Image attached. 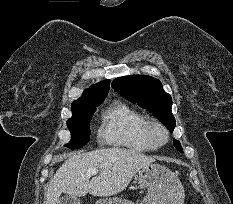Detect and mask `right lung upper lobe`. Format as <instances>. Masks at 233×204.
Instances as JSON below:
<instances>
[{
  "label": "right lung upper lobe",
  "instance_id": "obj_1",
  "mask_svg": "<svg viewBox=\"0 0 233 204\" xmlns=\"http://www.w3.org/2000/svg\"><path fill=\"white\" fill-rule=\"evenodd\" d=\"M109 87V80H105L91 86L78 100L72 103V109L86 108L91 105L103 102L108 94Z\"/></svg>",
  "mask_w": 233,
  "mask_h": 204
}]
</instances>
